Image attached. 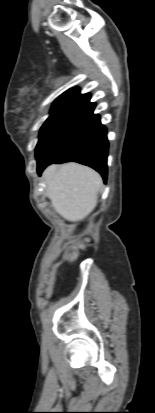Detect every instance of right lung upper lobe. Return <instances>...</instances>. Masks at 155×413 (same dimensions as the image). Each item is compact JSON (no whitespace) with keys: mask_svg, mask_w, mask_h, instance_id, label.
<instances>
[{"mask_svg":"<svg viewBox=\"0 0 155 413\" xmlns=\"http://www.w3.org/2000/svg\"><path fill=\"white\" fill-rule=\"evenodd\" d=\"M90 94H80L79 88H71L60 95L52 105L51 112L68 107H79L90 99Z\"/></svg>","mask_w":155,"mask_h":413,"instance_id":"right-lung-upper-lobe-1","label":"right lung upper lobe"}]
</instances>
